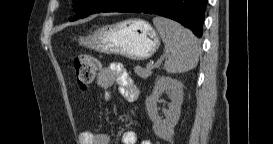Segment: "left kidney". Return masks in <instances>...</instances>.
<instances>
[{"instance_id": "1", "label": "left kidney", "mask_w": 273, "mask_h": 144, "mask_svg": "<svg viewBox=\"0 0 273 144\" xmlns=\"http://www.w3.org/2000/svg\"><path fill=\"white\" fill-rule=\"evenodd\" d=\"M164 92L171 93L168 109H164L165 119L157 113V101ZM183 102V84L171 77L160 76L156 79L152 94L146 99V109L153 122L154 133L162 139L169 140L174 134V127L178 123Z\"/></svg>"}]
</instances>
